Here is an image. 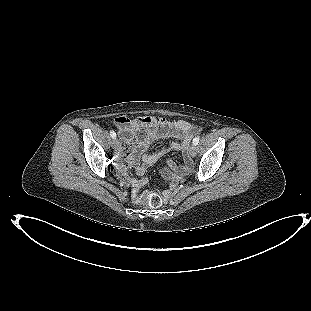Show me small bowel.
Instances as JSON below:
<instances>
[{"label":"small bowel","mask_w":311,"mask_h":311,"mask_svg":"<svg viewBox=\"0 0 311 311\" xmlns=\"http://www.w3.org/2000/svg\"><path fill=\"white\" fill-rule=\"evenodd\" d=\"M121 133L122 147L118 152V166L123 178L130 184L132 199L138 201V194L146 183L143 177L146 170L154 163L171 152L184 151L189 139L196 131V127L184 120L169 121L158 117H137L130 119L126 116H118L114 121ZM174 138L167 145L148 153L147 150L155 140ZM133 164L134 171L139 179L132 178L125 169V163ZM166 165L171 170V177L175 180L181 176L190 166L187 156L183 166L175 164L168 159ZM169 190L164 192V198H168Z\"/></svg>","instance_id":"obj_1"}]
</instances>
